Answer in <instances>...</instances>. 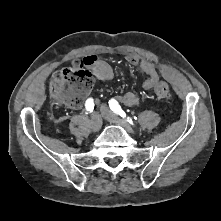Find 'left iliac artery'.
<instances>
[{"instance_id": "1", "label": "left iliac artery", "mask_w": 221, "mask_h": 221, "mask_svg": "<svg viewBox=\"0 0 221 221\" xmlns=\"http://www.w3.org/2000/svg\"><path fill=\"white\" fill-rule=\"evenodd\" d=\"M109 107L114 113L120 115L123 118L126 117V113L122 110L121 106L115 99L109 100ZM127 121L130 124H133V121L130 117H127Z\"/></svg>"}]
</instances>
